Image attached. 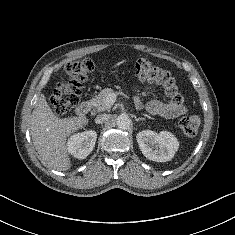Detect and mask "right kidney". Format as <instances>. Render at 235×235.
Instances as JSON below:
<instances>
[{"mask_svg": "<svg viewBox=\"0 0 235 235\" xmlns=\"http://www.w3.org/2000/svg\"><path fill=\"white\" fill-rule=\"evenodd\" d=\"M97 133L88 130L72 135L67 141L68 153L78 159H85L94 149Z\"/></svg>", "mask_w": 235, "mask_h": 235, "instance_id": "right-kidney-1", "label": "right kidney"}]
</instances>
